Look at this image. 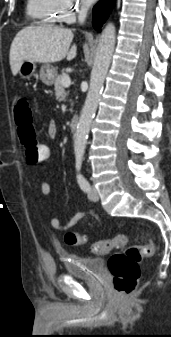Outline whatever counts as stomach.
I'll return each mask as SVG.
<instances>
[{
	"mask_svg": "<svg viewBox=\"0 0 171 337\" xmlns=\"http://www.w3.org/2000/svg\"><path fill=\"white\" fill-rule=\"evenodd\" d=\"M36 63L32 61L25 60L19 67L18 74L21 78L29 79L35 72ZM57 76L56 69L49 65H43L40 69V79L47 85L54 83Z\"/></svg>",
	"mask_w": 171,
	"mask_h": 337,
	"instance_id": "obj_1",
	"label": "stomach"
}]
</instances>
